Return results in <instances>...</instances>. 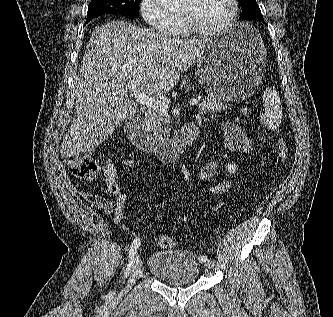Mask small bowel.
Wrapping results in <instances>:
<instances>
[{"instance_id":"c3829d8e","label":"small bowel","mask_w":333,"mask_h":317,"mask_svg":"<svg viewBox=\"0 0 333 317\" xmlns=\"http://www.w3.org/2000/svg\"><path fill=\"white\" fill-rule=\"evenodd\" d=\"M225 142L224 148L228 151L243 150L249 152L252 149L253 142L248 136L246 131L239 125L233 122H225L223 125ZM218 163L216 161L206 164L199 172V177L202 180L211 179L217 170ZM106 182V192L115 196V200L111 201L103 196L79 192V194L87 200V202L102 210L105 214L114 216V223L121 225L124 217V206L128 198V193L120 191L116 180V169L114 165L110 164L106 167L104 172ZM233 187V184L228 181L219 182L213 186L208 187V192L212 194H224ZM73 192H77L76 188L69 185Z\"/></svg>"}]
</instances>
